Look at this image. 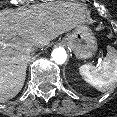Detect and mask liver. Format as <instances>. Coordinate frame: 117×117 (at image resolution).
I'll use <instances>...</instances> for the list:
<instances>
[{"label": "liver", "mask_w": 117, "mask_h": 117, "mask_svg": "<svg viewBox=\"0 0 117 117\" xmlns=\"http://www.w3.org/2000/svg\"><path fill=\"white\" fill-rule=\"evenodd\" d=\"M87 9L80 3L56 1L20 11H0V102L22 89L30 52L83 24Z\"/></svg>", "instance_id": "1"}]
</instances>
